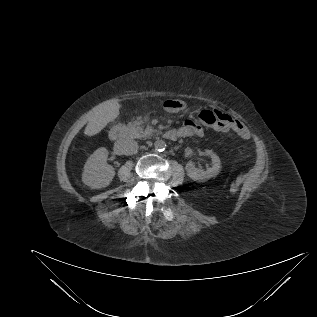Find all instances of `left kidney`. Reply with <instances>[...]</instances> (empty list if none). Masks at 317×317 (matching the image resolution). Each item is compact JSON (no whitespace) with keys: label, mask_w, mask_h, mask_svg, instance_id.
I'll list each match as a JSON object with an SVG mask.
<instances>
[{"label":"left kidney","mask_w":317,"mask_h":317,"mask_svg":"<svg viewBox=\"0 0 317 317\" xmlns=\"http://www.w3.org/2000/svg\"><path fill=\"white\" fill-rule=\"evenodd\" d=\"M205 153L212 158L211 168H208L207 170L198 169L192 161H189L185 166L187 175L193 181H206L212 177L217 176L221 170L219 157L212 150H206Z\"/></svg>","instance_id":"left-kidney-1"}]
</instances>
